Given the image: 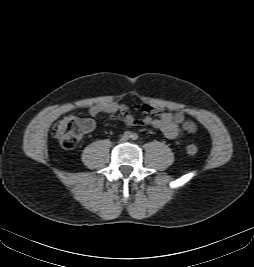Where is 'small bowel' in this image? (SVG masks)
Listing matches in <instances>:
<instances>
[{
    "label": "small bowel",
    "mask_w": 254,
    "mask_h": 267,
    "mask_svg": "<svg viewBox=\"0 0 254 267\" xmlns=\"http://www.w3.org/2000/svg\"><path fill=\"white\" fill-rule=\"evenodd\" d=\"M136 109L144 114L141 121L135 119L127 105L116 102H102L92 105L89 108V114L93 117L102 113L118 114L127 125L135 126L140 123L152 126L161 131L168 139H176L182 131L195 133L197 129L195 123L186 120L182 112L160 111L150 105H138Z\"/></svg>",
    "instance_id": "small-bowel-1"
}]
</instances>
